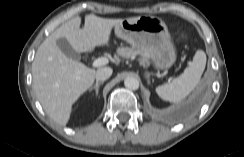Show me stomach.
I'll list each match as a JSON object with an SVG mask.
<instances>
[{
	"label": "stomach",
	"instance_id": "obj_1",
	"mask_svg": "<svg viewBox=\"0 0 244 157\" xmlns=\"http://www.w3.org/2000/svg\"><path fill=\"white\" fill-rule=\"evenodd\" d=\"M115 33L132 48L145 52L159 70L169 69L176 61V48L167 25L160 18H126L115 26Z\"/></svg>",
	"mask_w": 244,
	"mask_h": 157
}]
</instances>
